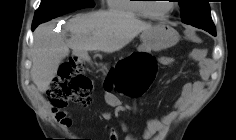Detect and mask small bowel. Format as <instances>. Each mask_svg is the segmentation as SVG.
Masks as SVG:
<instances>
[{"mask_svg":"<svg viewBox=\"0 0 236 140\" xmlns=\"http://www.w3.org/2000/svg\"><path fill=\"white\" fill-rule=\"evenodd\" d=\"M190 36H192L191 33ZM190 58L193 61L198 62L201 78L193 82H187L182 86L180 95L174 102L170 111L161 117L151 118L147 121L146 127L142 134L143 139L163 140L166 137L168 127L187 109L195 97L203 91L205 83L209 77L206 67L205 54L202 50L196 49L190 53ZM173 62L174 59L169 56L159 57V63L163 66H169L173 64ZM54 113L56 119L63 127H71L72 119L67 111L56 110ZM104 118L110 120L112 118V114L105 112ZM121 132L125 133V140H138L135 135L130 133L128 127L124 123H121L119 127L110 128L109 140H119Z\"/></svg>","mask_w":236,"mask_h":140,"instance_id":"small-bowel-1","label":"small bowel"}]
</instances>
